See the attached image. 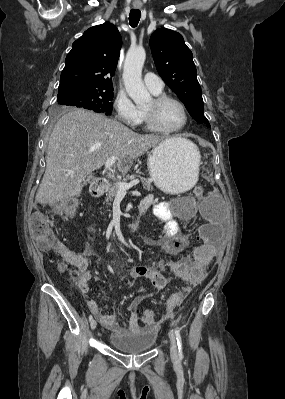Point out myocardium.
Here are the masks:
<instances>
[{"instance_id":"1","label":"myocardium","mask_w":285,"mask_h":399,"mask_svg":"<svg viewBox=\"0 0 285 399\" xmlns=\"http://www.w3.org/2000/svg\"><path fill=\"white\" fill-rule=\"evenodd\" d=\"M152 101H153L154 108L152 110L144 109L145 120L151 130L160 132V133H174V132H178V131L182 130L186 126V124L188 122V113H187V109H186L184 103L181 100H179L178 98L171 96V95L159 94V95H156L152 99ZM168 101L175 102L181 108L183 116H184L183 123L180 126L175 127V128H166V127H163L159 123L157 109L161 105H163L165 102H168Z\"/></svg>"}]
</instances>
